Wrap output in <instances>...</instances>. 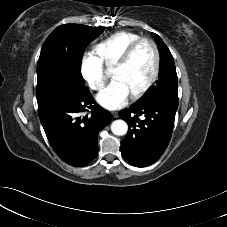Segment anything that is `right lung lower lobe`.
<instances>
[{"label":"right lung lower lobe","mask_w":227,"mask_h":227,"mask_svg":"<svg viewBox=\"0 0 227 227\" xmlns=\"http://www.w3.org/2000/svg\"><path fill=\"white\" fill-rule=\"evenodd\" d=\"M38 114L56 154L82 167L98 154V133L112 119L85 86L61 87L38 101Z\"/></svg>","instance_id":"1"}]
</instances>
